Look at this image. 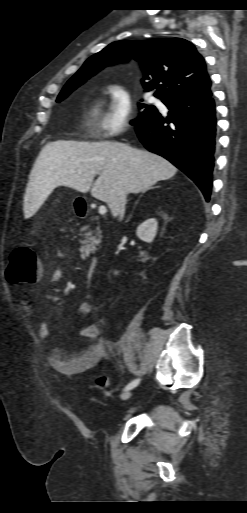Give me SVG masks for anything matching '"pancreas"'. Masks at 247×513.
<instances>
[{
	"label": "pancreas",
	"mask_w": 247,
	"mask_h": 513,
	"mask_svg": "<svg viewBox=\"0 0 247 513\" xmlns=\"http://www.w3.org/2000/svg\"><path fill=\"white\" fill-rule=\"evenodd\" d=\"M81 236H84L81 247L82 258L88 257L90 253H94L97 250V246L100 243L101 231L99 227H96L95 236L93 231L89 229V225H85L80 229Z\"/></svg>",
	"instance_id": "obj_1"
}]
</instances>
